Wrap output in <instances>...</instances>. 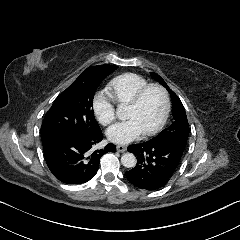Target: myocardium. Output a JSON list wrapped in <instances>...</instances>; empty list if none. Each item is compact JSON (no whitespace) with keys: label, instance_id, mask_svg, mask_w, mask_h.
Here are the masks:
<instances>
[{"label":"myocardium","instance_id":"myocardium-1","mask_svg":"<svg viewBox=\"0 0 240 240\" xmlns=\"http://www.w3.org/2000/svg\"><path fill=\"white\" fill-rule=\"evenodd\" d=\"M151 89H157L161 93L162 99H163V111H162V115H161L159 122L157 123V125L154 128H152L151 130H148V131H142V134L144 136H153V135L157 134L158 132H160L163 129V127L165 126L166 121L168 119L169 112H170V99H169L167 90L159 84H147V85L141 87L136 92V94L133 97V99L131 100V102L125 106V109L137 108L140 105L145 93Z\"/></svg>","mask_w":240,"mask_h":240}]
</instances>
